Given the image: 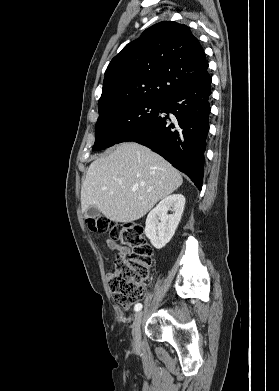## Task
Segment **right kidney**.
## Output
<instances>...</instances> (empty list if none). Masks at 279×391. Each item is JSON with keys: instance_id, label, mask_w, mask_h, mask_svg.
Listing matches in <instances>:
<instances>
[{"instance_id": "1", "label": "right kidney", "mask_w": 279, "mask_h": 391, "mask_svg": "<svg viewBox=\"0 0 279 391\" xmlns=\"http://www.w3.org/2000/svg\"><path fill=\"white\" fill-rule=\"evenodd\" d=\"M185 205L182 194L165 197L152 209L146 219L145 235L156 249L163 248L173 237ZM172 210L173 214H168Z\"/></svg>"}]
</instances>
